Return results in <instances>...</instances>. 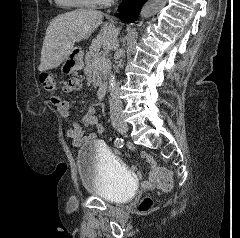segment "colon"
I'll list each match as a JSON object with an SVG mask.
<instances>
[{"label": "colon", "mask_w": 240, "mask_h": 238, "mask_svg": "<svg viewBox=\"0 0 240 238\" xmlns=\"http://www.w3.org/2000/svg\"><path fill=\"white\" fill-rule=\"evenodd\" d=\"M39 79L44 90L47 92H53L56 89V80L52 73L42 72ZM154 180H156L158 186L164 191L171 189L173 184V180L169 171L163 167H157L155 169ZM152 203L153 202L150 197H145L139 204V210H149L152 206Z\"/></svg>", "instance_id": "obj_1"}]
</instances>
